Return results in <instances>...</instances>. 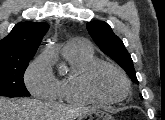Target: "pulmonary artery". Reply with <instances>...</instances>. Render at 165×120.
Listing matches in <instances>:
<instances>
[{"label":"pulmonary artery","instance_id":"1","mask_svg":"<svg viewBox=\"0 0 165 120\" xmlns=\"http://www.w3.org/2000/svg\"><path fill=\"white\" fill-rule=\"evenodd\" d=\"M64 50L68 51H88L91 50L90 45L88 44L87 41L81 38H74L69 40L65 46Z\"/></svg>","mask_w":165,"mask_h":120}]
</instances>
